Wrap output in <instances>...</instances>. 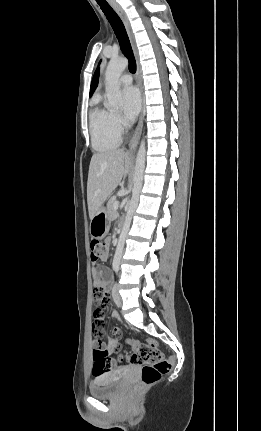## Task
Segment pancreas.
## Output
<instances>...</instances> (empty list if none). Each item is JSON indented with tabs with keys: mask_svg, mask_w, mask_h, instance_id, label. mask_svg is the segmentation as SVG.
Segmentation results:
<instances>
[{
	"mask_svg": "<svg viewBox=\"0 0 261 431\" xmlns=\"http://www.w3.org/2000/svg\"><path fill=\"white\" fill-rule=\"evenodd\" d=\"M117 202L116 198L112 197L109 199L107 204V213L110 220H113L117 216L116 209L114 208V203Z\"/></svg>",
	"mask_w": 261,
	"mask_h": 431,
	"instance_id": "obj_1",
	"label": "pancreas"
}]
</instances>
